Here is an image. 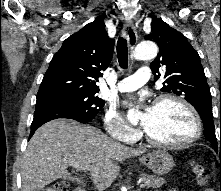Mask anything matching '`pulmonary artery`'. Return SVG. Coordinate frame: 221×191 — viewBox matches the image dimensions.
<instances>
[{"instance_id": "1", "label": "pulmonary artery", "mask_w": 221, "mask_h": 191, "mask_svg": "<svg viewBox=\"0 0 221 191\" xmlns=\"http://www.w3.org/2000/svg\"><path fill=\"white\" fill-rule=\"evenodd\" d=\"M150 77V69L147 67H141L136 71L134 75L120 80L117 83L115 90L119 92L134 91L140 88L146 82H148L150 80Z\"/></svg>"}]
</instances>
